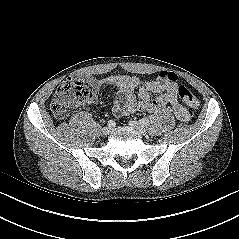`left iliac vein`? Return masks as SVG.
Instances as JSON below:
<instances>
[{"label": "left iliac vein", "mask_w": 239, "mask_h": 239, "mask_svg": "<svg viewBox=\"0 0 239 239\" xmlns=\"http://www.w3.org/2000/svg\"><path fill=\"white\" fill-rule=\"evenodd\" d=\"M129 125L134 128L138 133L142 134V135H145L146 134V129L145 127L140 124L139 122L137 121H130L129 122Z\"/></svg>", "instance_id": "1"}]
</instances>
